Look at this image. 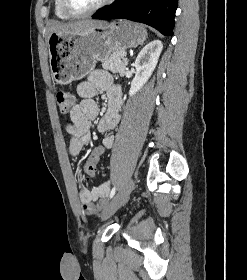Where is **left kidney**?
Masks as SVG:
<instances>
[{"label": "left kidney", "mask_w": 247, "mask_h": 280, "mask_svg": "<svg viewBox=\"0 0 247 280\" xmlns=\"http://www.w3.org/2000/svg\"><path fill=\"white\" fill-rule=\"evenodd\" d=\"M162 49V42L160 40H154L140 51L134 63L136 74L131 82L129 96H133L141 90L151 77L158 63Z\"/></svg>", "instance_id": "5707ae66"}]
</instances>
